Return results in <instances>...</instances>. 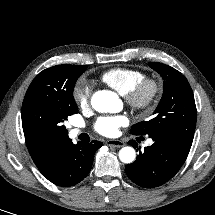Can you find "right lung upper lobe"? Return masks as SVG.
Here are the masks:
<instances>
[{
	"instance_id": "1",
	"label": "right lung upper lobe",
	"mask_w": 215,
	"mask_h": 215,
	"mask_svg": "<svg viewBox=\"0 0 215 215\" xmlns=\"http://www.w3.org/2000/svg\"><path fill=\"white\" fill-rule=\"evenodd\" d=\"M29 153L42 174L49 172L54 156L58 149L69 137L58 140H43L34 136L27 128H23Z\"/></svg>"
}]
</instances>
